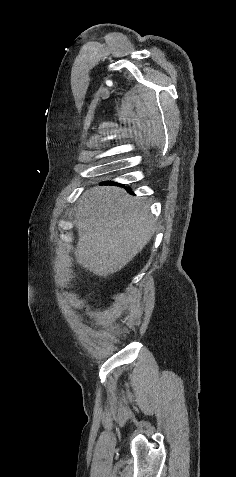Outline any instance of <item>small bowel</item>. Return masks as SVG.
I'll return each mask as SVG.
<instances>
[{"label":"small bowel","instance_id":"c3829d8e","mask_svg":"<svg viewBox=\"0 0 236 477\" xmlns=\"http://www.w3.org/2000/svg\"><path fill=\"white\" fill-rule=\"evenodd\" d=\"M71 308L75 311L80 310L82 308V305L78 301H73L71 303Z\"/></svg>","mask_w":236,"mask_h":477}]
</instances>
